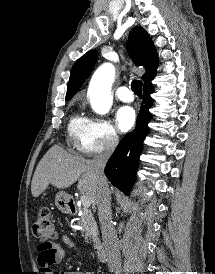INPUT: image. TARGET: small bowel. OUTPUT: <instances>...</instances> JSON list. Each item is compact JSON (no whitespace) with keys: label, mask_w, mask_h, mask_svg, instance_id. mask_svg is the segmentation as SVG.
Returning a JSON list of instances; mask_svg holds the SVG:
<instances>
[{"label":"small bowel","mask_w":215,"mask_h":274,"mask_svg":"<svg viewBox=\"0 0 215 274\" xmlns=\"http://www.w3.org/2000/svg\"><path fill=\"white\" fill-rule=\"evenodd\" d=\"M62 243L67 247L63 248L59 243H44L41 242L38 245V264L40 272L44 274H94L93 272H55L52 269L54 264H57L63 260V258L69 253L70 250L76 249V243L66 234L61 235ZM88 255L94 259V255L91 251H88Z\"/></svg>","instance_id":"c3829d8e"}]
</instances>
